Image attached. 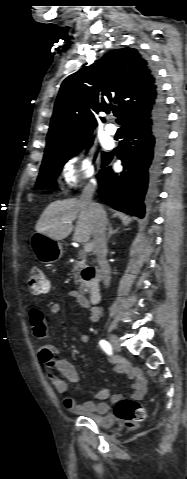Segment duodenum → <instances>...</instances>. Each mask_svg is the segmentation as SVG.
<instances>
[{
  "label": "duodenum",
  "mask_w": 187,
  "mask_h": 479,
  "mask_svg": "<svg viewBox=\"0 0 187 479\" xmlns=\"http://www.w3.org/2000/svg\"><path fill=\"white\" fill-rule=\"evenodd\" d=\"M86 271L87 274L85 276V279L90 283L88 297L92 304H96L99 302L101 297L100 287L95 282L96 271L92 267L88 268Z\"/></svg>",
  "instance_id": "obj_1"
}]
</instances>
